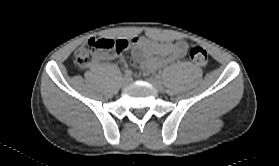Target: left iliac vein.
<instances>
[{"instance_id": "4c4485c4", "label": "left iliac vein", "mask_w": 279, "mask_h": 166, "mask_svg": "<svg viewBox=\"0 0 279 166\" xmlns=\"http://www.w3.org/2000/svg\"><path fill=\"white\" fill-rule=\"evenodd\" d=\"M149 82L158 90L163 91V84L160 78L152 77L149 79Z\"/></svg>"}]
</instances>
